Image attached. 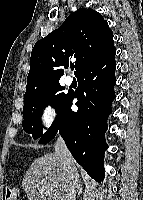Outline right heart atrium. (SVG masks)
Segmentation results:
<instances>
[{"label": "right heart atrium", "mask_w": 143, "mask_h": 200, "mask_svg": "<svg viewBox=\"0 0 143 200\" xmlns=\"http://www.w3.org/2000/svg\"><path fill=\"white\" fill-rule=\"evenodd\" d=\"M57 118V111L52 101L44 103L39 113V123L42 132L49 130L55 123Z\"/></svg>", "instance_id": "right-heart-atrium-1"}]
</instances>
